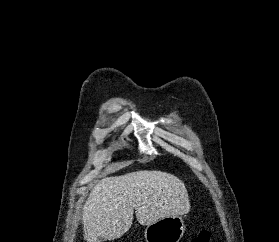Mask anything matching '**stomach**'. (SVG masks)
<instances>
[{
  "label": "stomach",
  "instance_id": "1",
  "mask_svg": "<svg viewBox=\"0 0 279 242\" xmlns=\"http://www.w3.org/2000/svg\"><path fill=\"white\" fill-rule=\"evenodd\" d=\"M185 229L183 217L172 215L147 225L144 235L146 242H179Z\"/></svg>",
  "mask_w": 279,
  "mask_h": 242
}]
</instances>
